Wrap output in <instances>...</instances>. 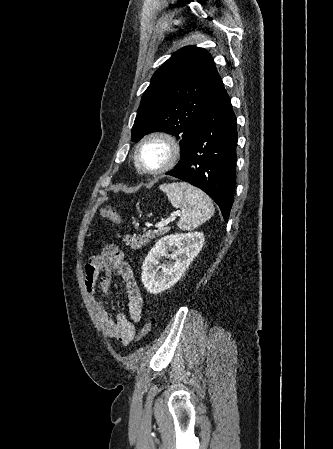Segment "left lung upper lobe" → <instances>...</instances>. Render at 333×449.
Instances as JSON below:
<instances>
[{"label":"left lung upper lobe","instance_id":"obj_1","mask_svg":"<svg viewBox=\"0 0 333 449\" xmlns=\"http://www.w3.org/2000/svg\"><path fill=\"white\" fill-rule=\"evenodd\" d=\"M224 89L215 63L204 48L187 46L176 51L154 73L144 92L132 128V140L164 131L180 141V166L194 133Z\"/></svg>","mask_w":333,"mask_h":449}]
</instances>
